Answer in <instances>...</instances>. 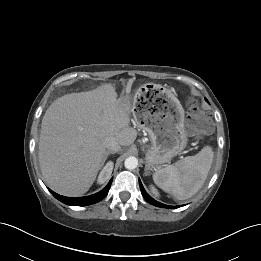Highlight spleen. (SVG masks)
I'll list each match as a JSON object with an SVG mask.
<instances>
[{
    "instance_id": "3e777b00",
    "label": "spleen",
    "mask_w": 261,
    "mask_h": 261,
    "mask_svg": "<svg viewBox=\"0 0 261 261\" xmlns=\"http://www.w3.org/2000/svg\"><path fill=\"white\" fill-rule=\"evenodd\" d=\"M214 153L205 146L194 156H187L153 174L155 184L178 200L195 195L203 186L213 162Z\"/></svg>"
}]
</instances>
